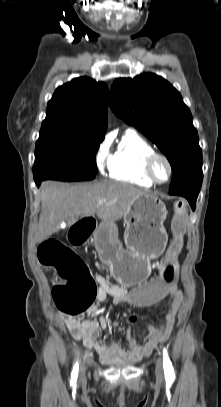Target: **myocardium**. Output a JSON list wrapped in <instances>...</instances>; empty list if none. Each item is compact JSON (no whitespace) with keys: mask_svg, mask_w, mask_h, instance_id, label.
Wrapping results in <instances>:
<instances>
[{"mask_svg":"<svg viewBox=\"0 0 221 407\" xmlns=\"http://www.w3.org/2000/svg\"><path fill=\"white\" fill-rule=\"evenodd\" d=\"M159 159L165 161V163L167 164L168 170H169L168 177L164 181H159L156 178L155 173H154L155 162L157 160H159ZM144 170H145V174L147 175V177L156 185H163V184L168 183L171 180L172 176H173V165H172L171 160L165 154L158 153V152H155V153L151 154L146 159Z\"/></svg>","mask_w":221,"mask_h":407,"instance_id":"myocardium-1","label":"myocardium"}]
</instances>
